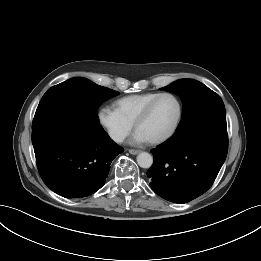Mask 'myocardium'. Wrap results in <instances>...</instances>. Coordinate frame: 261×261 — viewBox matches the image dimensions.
Returning a JSON list of instances; mask_svg holds the SVG:
<instances>
[{"instance_id": "f54148a6", "label": "myocardium", "mask_w": 261, "mask_h": 261, "mask_svg": "<svg viewBox=\"0 0 261 261\" xmlns=\"http://www.w3.org/2000/svg\"><path fill=\"white\" fill-rule=\"evenodd\" d=\"M163 97H170V98L174 99V101L177 104V108H178L177 116L175 118L173 125L165 134H163L162 136H160L158 138L148 141L150 144H153V145L161 144V143L169 140L177 131L179 124L181 122L182 113H183L182 104H181V101L179 100V98L176 95L169 93V92L159 93L143 108V110L139 113V115L137 116V118L134 121V128H135V130H137L138 126L149 116L154 105Z\"/></svg>"}]
</instances>
